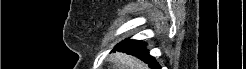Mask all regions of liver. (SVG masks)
Returning a JSON list of instances; mask_svg holds the SVG:
<instances>
[{
	"instance_id": "6515ba94",
	"label": "liver",
	"mask_w": 246,
	"mask_h": 69,
	"mask_svg": "<svg viewBox=\"0 0 246 69\" xmlns=\"http://www.w3.org/2000/svg\"><path fill=\"white\" fill-rule=\"evenodd\" d=\"M111 60L115 63L116 69H148L145 63L127 54L115 53Z\"/></svg>"
}]
</instances>
